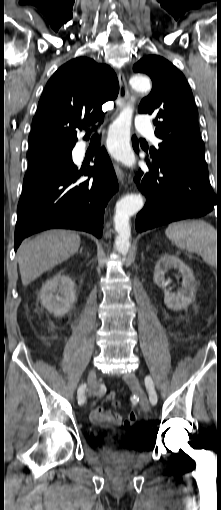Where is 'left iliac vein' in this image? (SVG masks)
<instances>
[{
  "label": "left iliac vein",
  "instance_id": "1",
  "mask_svg": "<svg viewBox=\"0 0 221 510\" xmlns=\"http://www.w3.org/2000/svg\"><path fill=\"white\" fill-rule=\"evenodd\" d=\"M124 379H125L126 383L137 393V395L139 397V403H140L141 408L145 412H148L150 410V403L147 398V395L145 394L144 390L142 389V387L140 385L139 378L134 373H128L124 376ZM152 383H153V381H152ZM153 392H156L155 388H154V383H153Z\"/></svg>",
  "mask_w": 221,
  "mask_h": 510
}]
</instances>
